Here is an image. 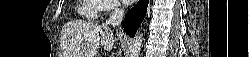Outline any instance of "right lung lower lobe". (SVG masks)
<instances>
[{"label":"right lung lower lobe","instance_id":"obj_1","mask_svg":"<svg viewBox=\"0 0 249 57\" xmlns=\"http://www.w3.org/2000/svg\"><path fill=\"white\" fill-rule=\"evenodd\" d=\"M148 6V0H139L138 3L127 13L124 19V30L131 37L135 33L143 21Z\"/></svg>","mask_w":249,"mask_h":57}]
</instances>
